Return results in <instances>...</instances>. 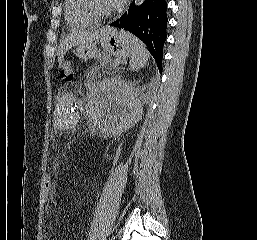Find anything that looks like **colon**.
<instances>
[{"label":"colon","instance_id":"5ec220e1","mask_svg":"<svg viewBox=\"0 0 257 240\" xmlns=\"http://www.w3.org/2000/svg\"><path fill=\"white\" fill-rule=\"evenodd\" d=\"M74 64L72 61L67 60L63 63L62 68H61V76L63 79L67 81H71L74 78ZM52 192H53V182L50 174H47L45 177V182H44V193H45V198L49 202L51 197H52Z\"/></svg>","mask_w":257,"mask_h":240}]
</instances>
